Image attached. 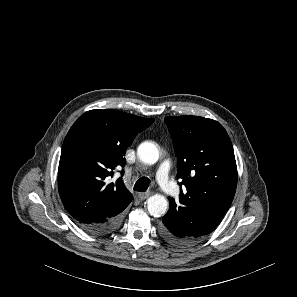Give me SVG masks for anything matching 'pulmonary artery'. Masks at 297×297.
Returning <instances> with one entry per match:
<instances>
[{"label":"pulmonary artery","instance_id":"pulmonary-artery-1","mask_svg":"<svg viewBox=\"0 0 297 297\" xmlns=\"http://www.w3.org/2000/svg\"><path fill=\"white\" fill-rule=\"evenodd\" d=\"M170 161L164 160L158 167L156 177L159 185L170 195H174L177 191L176 185L169 179Z\"/></svg>","mask_w":297,"mask_h":297}]
</instances>
